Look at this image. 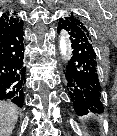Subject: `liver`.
Instances as JSON below:
<instances>
[{
    "label": "liver",
    "mask_w": 117,
    "mask_h": 136,
    "mask_svg": "<svg viewBox=\"0 0 117 136\" xmlns=\"http://www.w3.org/2000/svg\"><path fill=\"white\" fill-rule=\"evenodd\" d=\"M17 119V106L11 102L0 101V136H10Z\"/></svg>",
    "instance_id": "obj_1"
}]
</instances>
